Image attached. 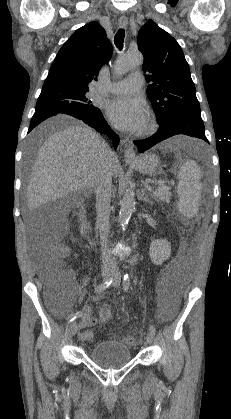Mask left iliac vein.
Here are the masks:
<instances>
[{
  "label": "left iliac vein",
  "mask_w": 231,
  "mask_h": 419,
  "mask_svg": "<svg viewBox=\"0 0 231 419\" xmlns=\"http://www.w3.org/2000/svg\"><path fill=\"white\" fill-rule=\"evenodd\" d=\"M112 271H113L112 272V277L114 279L113 286L116 288V287H118L120 285L121 276H120V273H119L118 270L114 269ZM153 340H154V335L151 332H148L147 335H146V342L148 344H152L153 343Z\"/></svg>",
  "instance_id": "1"
}]
</instances>
